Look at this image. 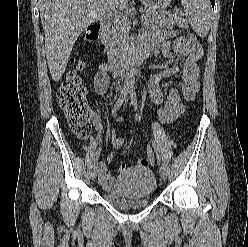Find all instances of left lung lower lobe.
I'll return each mask as SVG.
<instances>
[{"label":"left lung lower lobe","instance_id":"left-lung-lower-lobe-1","mask_svg":"<svg viewBox=\"0 0 248 247\" xmlns=\"http://www.w3.org/2000/svg\"><path fill=\"white\" fill-rule=\"evenodd\" d=\"M210 1H211L212 6L214 7L215 0H210Z\"/></svg>","mask_w":248,"mask_h":247}]
</instances>
